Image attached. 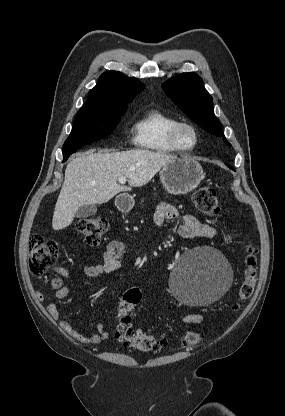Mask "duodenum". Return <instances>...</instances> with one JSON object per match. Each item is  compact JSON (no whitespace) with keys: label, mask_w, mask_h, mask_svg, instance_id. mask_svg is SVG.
<instances>
[{"label":"duodenum","mask_w":285,"mask_h":416,"mask_svg":"<svg viewBox=\"0 0 285 416\" xmlns=\"http://www.w3.org/2000/svg\"><path fill=\"white\" fill-rule=\"evenodd\" d=\"M134 204V199L130 193H119L118 197L115 198V205L119 206L123 210L130 209Z\"/></svg>","instance_id":"duodenum-1"}]
</instances>
